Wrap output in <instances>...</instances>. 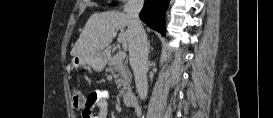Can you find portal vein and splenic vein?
I'll list each match as a JSON object with an SVG mask.
<instances>
[{
    "mask_svg": "<svg viewBox=\"0 0 273 118\" xmlns=\"http://www.w3.org/2000/svg\"><path fill=\"white\" fill-rule=\"evenodd\" d=\"M118 57L120 58H125L126 54L124 51H119L117 54H116Z\"/></svg>",
    "mask_w": 273,
    "mask_h": 118,
    "instance_id": "obj_1",
    "label": "portal vein and splenic vein"
}]
</instances>
